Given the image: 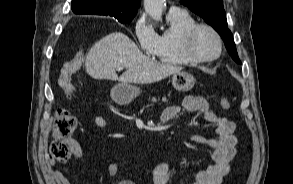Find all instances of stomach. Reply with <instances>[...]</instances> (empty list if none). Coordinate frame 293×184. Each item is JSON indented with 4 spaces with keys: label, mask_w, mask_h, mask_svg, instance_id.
Masks as SVG:
<instances>
[{
    "label": "stomach",
    "mask_w": 293,
    "mask_h": 184,
    "mask_svg": "<svg viewBox=\"0 0 293 184\" xmlns=\"http://www.w3.org/2000/svg\"><path fill=\"white\" fill-rule=\"evenodd\" d=\"M172 85L177 91H190L195 78L188 72H178L172 77ZM140 94V89L130 83H119L111 89V97L118 104H128Z\"/></svg>",
    "instance_id": "stomach-1"
}]
</instances>
